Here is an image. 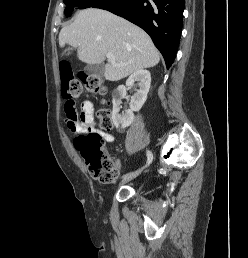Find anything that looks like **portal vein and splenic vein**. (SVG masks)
Masks as SVG:
<instances>
[{
  "instance_id": "obj_1",
  "label": "portal vein and splenic vein",
  "mask_w": 248,
  "mask_h": 258,
  "mask_svg": "<svg viewBox=\"0 0 248 258\" xmlns=\"http://www.w3.org/2000/svg\"><path fill=\"white\" fill-rule=\"evenodd\" d=\"M106 57H107V59H108L110 62H114V61H115V56H114L112 53H107V54H106Z\"/></svg>"
}]
</instances>
